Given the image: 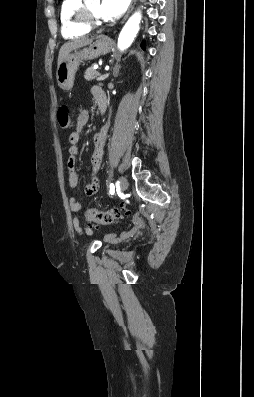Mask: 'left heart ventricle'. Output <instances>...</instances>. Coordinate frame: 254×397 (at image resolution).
Here are the masks:
<instances>
[{
  "label": "left heart ventricle",
  "instance_id": "b2bd125f",
  "mask_svg": "<svg viewBox=\"0 0 254 397\" xmlns=\"http://www.w3.org/2000/svg\"><path fill=\"white\" fill-rule=\"evenodd\" d=\"M88 7L92 11V13L100 20H103L104 18L100 14V1L99 0H90V2L87 3Z\"/></svg>",
  "mask_w": 254,
  "mask_h": 397
}]
</instances>
